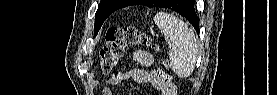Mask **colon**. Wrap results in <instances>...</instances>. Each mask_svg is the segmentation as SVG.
<instances>
[{
    "label": "colon",
    "instance_id": "5ec220e1",
    "mask_svg": "<svg viewBox=\"0 0 277 95\" xmlns=\"http://www.w3.org/2000/svg\"><path fill=\"white\" fill-rule=\"evenodd\" d=\"M150 45H152L150 37L134 26L109 28L105 34V45L99 55L101 70L104 73H109L115 69L126 49ZM157 75L160 82L169 81L165 71L160 70Z\"/></svg>",
    "mask_w": 277,
    "mask_h": 95
}]
</instances>
